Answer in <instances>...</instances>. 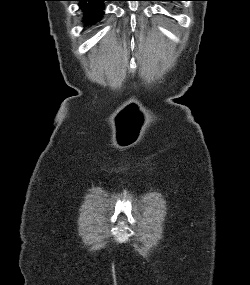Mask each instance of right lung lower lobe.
Returning a JSON list of instances; mask_svg holds the SVG:
<instances>
[{"label":"right lung lower lobe","instance_id":"right-lung-lower-lobe-1","mask_svg":"<svg viewBox=\"0 0 250 285\" xmlns=\"http://www.w3.org/2000/svg\"><path fill=\"white\" fill-rule=\"evenodd\" d=\"M80 1L81 9L84 12L83 23L94 24L101 20L104 14V1L108 0H75Z\"/></svg>","mask_w":250,"mask_h":285}]
</instances>
